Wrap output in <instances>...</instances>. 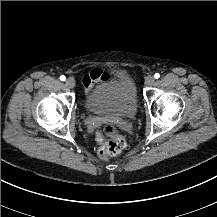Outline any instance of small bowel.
Here are the masks:
<instances>
[{
  "label": "small bowel",
  "mask_w": 217,
  "mask_h": 217,
  "mask_svg": "<svg viewBox=\"0 0 217 217\" xmlns=\"http://www.w3.org/2000/svg\"><path fill=\"white\" fill-rule=\"evenodd\" d=\"M84 86H85L86 93L89 94L92 91V84L88 85V86H86V85H84ZM88 126L92 130V132H94L96 143L98 145H102L103 144V137H102L100 130H99L100 124H99L98 120L93 119V120L88 121Z\"/></svg>",
  "instance_id": "small-bowel-1"
}]
</instances>
